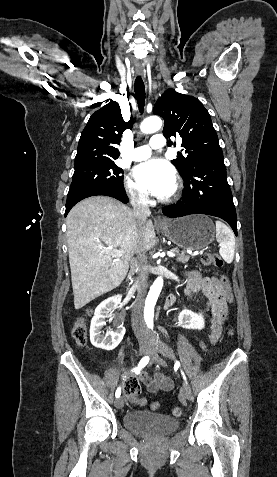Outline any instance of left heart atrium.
<instances>
[{
    "instance_id": "obj_1",
    "label": "left heart atrium",
    "mask_w": 277,
    "mask_h": 477,
    "mask_svg": "<svg viewBox=\"0 0 277 477\" xmlns=\"http://www.w3.org/2000/svg\"><path fill=\"white\" fill-rule=\"evenodd\" d=\"M134 176L142 189L159 198L169 196L176 186L174 168L161 159H152L137 165Z\"/></svg>"
}]
</instances>
